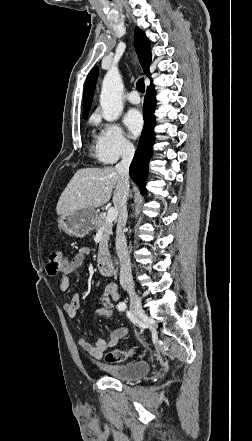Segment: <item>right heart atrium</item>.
Wrapping results in <instances>:
<instances>
[{
	"mask_svg": "<svg viewBox=\"0 0 252 441\" xmlns=\"http://www.w3.org/2000/svg\"><path fill=\"white\" fill-rule=\"evenodd\" d=\"M134 152L133 143L118 123H100V131L96 138V153L100 161L113 164L120 158L131 157Z\"/></svg>",
	"mask_w": 252,
	"mask_h": 441,
	"instance_id": "1",
	"label": "right heart atrium"
}]
</instances>
